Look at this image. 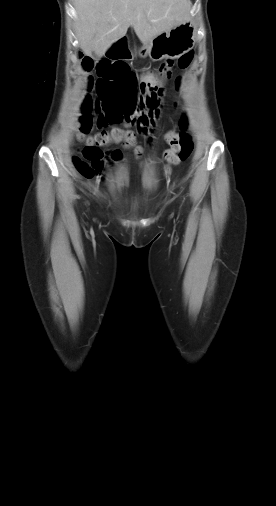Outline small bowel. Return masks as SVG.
Instances as JSON below:
<instances>
[{"label": "small bowel", "mask_w": 276, "mask_h": 506, "mask_svg": "<svg viewBox=\"0 0 276 506\" xmlns=\"http://www.w3.org/2000/svg\"><path fill=\"white\" fill-rule=\"evenodd\" d=\"M142 80L143 81H149L157 86H161L162 85V79L159 78L158 76L154 75L153 73H150V72H145L143 75H142ZM159 115V114H158ZM158 118V116H157ZM157 118L153 121V125L156 123V120ZM118 154L117 153H114L113 154V158H117Z\"/></svg>", "instance_id": "c3829d8e"}]
</instances>
